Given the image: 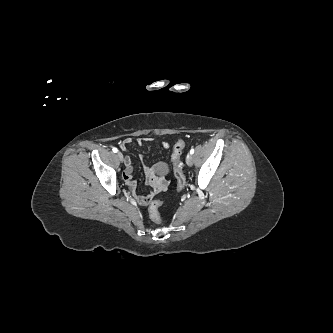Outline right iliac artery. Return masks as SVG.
<instances>
[{
	"mask_svg": "<svg viewBox=\"0 0 333 333\" xmlns=\"http://www.w3.org/2000/svg\"><path fill=\"white\" fill-rule=\"evenodd\" d=\"M112 150H113L114 153H116L118 151V149L115 148V147Z\"/></svg>",
	"mask_w": 333,
	"mask_h": 333,
	"instance_id": "1",
	"label": "right iliac artery"
}]
</instances>
